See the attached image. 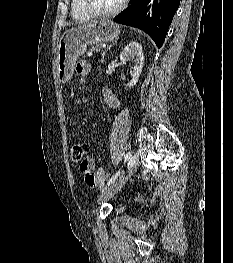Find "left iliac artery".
<instances>
[{"mask_svg":"<svg viewBox=\"0 0 233 263\" xmlns=\"http://www.w3.org/2000/svg\"><path fill=\"white\" fill-rule=\"evenodd\" d=\"M130 157H131V153L130 152L126 153V155L124 156V162L128 161ZM120 172L121 170H119L115 175H113V177L109 180L108 185L112 184L117 179Z\"/></svg>","mask_w":233,"mask_h":263,"instance_id":"44dca946","label":"left iliac artery"}]
</instances>
